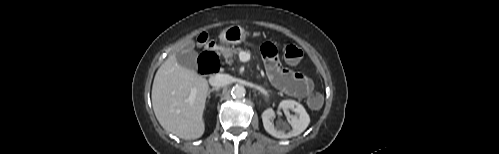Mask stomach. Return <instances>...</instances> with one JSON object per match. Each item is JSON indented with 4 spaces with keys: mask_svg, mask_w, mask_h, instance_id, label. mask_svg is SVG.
<instances>
[{
    "mask_svg": "<svg viewBox=\"0 0 499 154\" xmlns=\"http://www.w3.org/2000/svg\"><path fill=\"white\" fill-rule=\"evenodd\" d=\"M248 33L239 25H232L225 28L219 35L223 44H240L247 39Z\"/></svg>",
    "mask_w": 499,
    "mask_h": 154,
    "instance_id": "stomach-1",
    "label": "stomach"
}]
</instances>
